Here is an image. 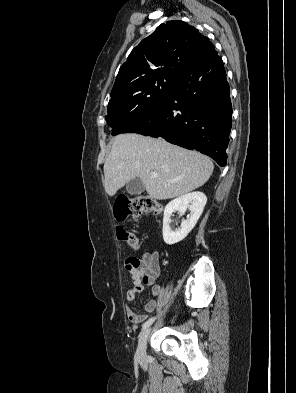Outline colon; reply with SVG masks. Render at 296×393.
<instances>
[{"mask_svg": "<svg viewBox=\"0 0 296 393\" xmlns=\"http://www.w3.org/2000/svg\"><path fill=\"white\" fill-rule=\"evenodd\" d=\"M160 211L159 203L149 196H140L134 200L121 199L115 205V216L120 221L130 216L137 217L143 213L157 214ZM116 235L119 240L126 242L131 248H140L137 236L124 227L117 226Z\"/></svg>", "mask_w": 296, "mask_h": 393, "instance_id": "obj_1", "label": "colon"}]
</instances>
